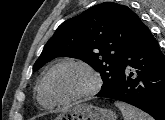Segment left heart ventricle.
<instances>
[{
    "label": "left heart ventricle",
    "mask_w": 165,
    "mask_h": 120,
    "mask_svg": "<svg viewBox=\"0 0 165 120\" xmlns=\"http://www.w3.org/2000/svg\"><path fill=\"white\" fill-rule=\"evenodd\" d=\"M92 79L82 68L67 65L55 70L49 80L53 94L60 99L79 95L90 88Z\"/></svg>",
    "instance_id": "1"
}]
</instances>
